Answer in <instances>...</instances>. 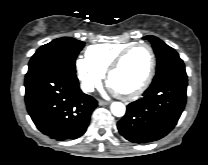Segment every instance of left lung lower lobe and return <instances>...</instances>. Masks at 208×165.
Instances as JSON below:
<instances>
[{
  "mask_svg": "<svg viewBox=\"0 0 208 165\" xmlns=\"http://www.w3.org/2000/svg\"><path fill=\"white\" fill-rule=\"evenodd\" d=\"M187 74L183 61L157 71L143 97L127 106L117 123L122 136L134 143H147L166 136L177 124L185 104Z\"/></svg>",
  "mask_w": 208,
  "mask_h": 165,
  "instance_id": "left-lung-lower-lobe-1",
  "label": "left lung lower lobe"
}]
</instances>
